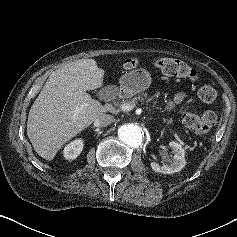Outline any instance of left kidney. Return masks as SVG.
<instances>
[{
    "label": "left kidney",
    "instance_id": "5707ae66",
    "mask_svg": "<svg viewBox=\"0 0 237 237\" xmlns=\"http://www.w3.org/2000/svg\"><path fill=\"white\" fill-rule=\"evenodd\" d=\"M169 147L172 149L174 156L173 160L170 161L168 164H164L163 166L158 165L155 162L151 163V168L158 173H163V174H172L175 172H179L184 168L186 165L185 161V151L183 147L177 143V142H170Z\"/></svg>",
    "mask_w": 237,
    "mask_h": 237
}]
</instances>
